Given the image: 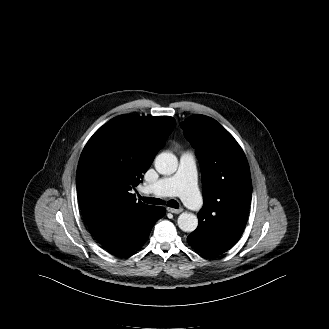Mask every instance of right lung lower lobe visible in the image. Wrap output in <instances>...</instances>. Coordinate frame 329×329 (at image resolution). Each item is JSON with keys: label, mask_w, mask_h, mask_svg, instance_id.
<instances>
[{"label": "right lung lower lobe", "mask_w": 329, "mask_h": 329, "mask_svg": "<svg viewBox=\"0 0 329 329\" xmlns=\"http://www.w3.org/2000/svg\"><path fill=\"white\" fill-rule=\"evenodd\" d=\"M165 208L150 206L133 212L111 213L89 225L90 233L111 254L120 256L139 249Z\"/></svg>", "instance_id": "1"}]
</instances>
